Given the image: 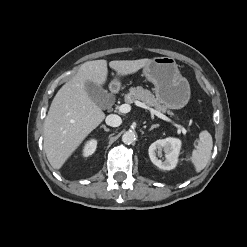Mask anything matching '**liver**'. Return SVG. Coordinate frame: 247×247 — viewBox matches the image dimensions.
Returning a JSON list of instances; mask_svg holds the SVG:
<instances>
[{
  "mask_svg": "<svg viewBox=\"0 0 247 247\" xmlns=\"http://www.w3.org/2000/svg\"><path fill=\"white\" fill-rule=\"evenodd\" d=\"M150 59L115 60L109 63L117 76L133 74ZM107 61L82 64L77 74L55 95L44 121V150L54 169H60L84 139L104 120L105 114L89 97L87 81L102 86L107 80Z\"/></svg>",
  "mask_w": 247,
  "mask_h": 247,
  "instance_id": "obj_1",
  "label": "liver"
}]
</instances>
